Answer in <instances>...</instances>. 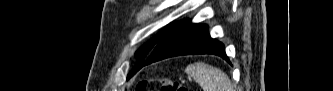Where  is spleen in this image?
Instances as JSON below:
<instances>
[{"label":"spleen","instance_id":"spleen-1","mask_svg":"<svg viewBox=\"0 0 333 91\" xmlns=\"http://www.w3.org/2000/svg\"><path fill=\"white\" fill-rule=\"evenodd\" d=\"M185 72L191 76L204 91H233L231 80L217 67L197 62L188 65Z\"/></svg>","mask_w":333,"mask_h":91}]
</instances>
